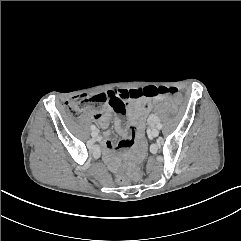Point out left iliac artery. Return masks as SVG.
<instances>
[{"instance_id":"obj_1","label":"left iliac artery","mask_w":241,"mask_h":241,"mask_svg":"<svg viewBox=\"0 0 241 241\" xmlns=\"http://www.w3.org/2000/svg\"><path fill=\"white\" fill-rule=\"evenodd\" d=\"M157 128H158V129H161V128H162V124H161V123H158V124H157Z\"/></svg>"}]
</instances>
